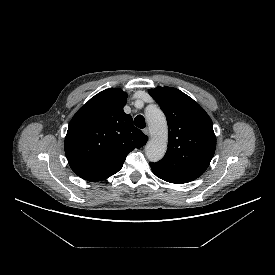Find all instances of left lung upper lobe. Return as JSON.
<instances>
[{"instance_id":"left-lung-upper-lobe-1","label":"left lung upper lobe","mask_w":275,"mask_h":275,"mask_svg":"<svg viewBox=\"0 0 275 275\" xmlns=\"http://www.w3.org/2000/svg\"><path fill=\"white\" fill-rule=\"evenodd\" d=\"M149 94L160 105L168 123V149L154 166L190 181L200 177L215 153L213 123L192 98L173 87H157Z\"/></svg>"}]
</instances>
